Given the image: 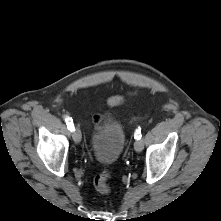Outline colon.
Returning a JSON list of instances; mask_svg holds the SVG:
<instances>
[{
  "instance_id": "obj_1",
  "label": "colon",
  "mask_w": 221,
  "mask_h": 221,
  "mask_svg": "<svg viewBox=\"0 0 221 221\" xmlns=\"http://www.w3.org/2000/svg\"><path fill=\"white\" fill-rule=\"evenodd\" d=\"M102 118L100 116L95 117L96 124H100ZM110 172L108 170H103L99 174L96 175L94 178V187L96 191L100 194H108L111 191L110 188Z\"/></svg>"
}]
</instances>
